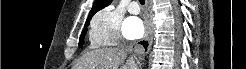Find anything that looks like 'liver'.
Segmentation results:
<instances>
[{"label": "liver", "instance_id": "1", "mask_svg": "<svg viewBox=\"0 0 246 69\" xmlns=\"http://www.w3.org/2000/svg\"><path fill=\"white\" fill-rule=\"evenodd\" d=\"M127 51L118 47H106L92 50L84 54L76 69H118L127 58ZM120 69H137L135 61L131 57Z\"/></svg>", "mask_w": 246, "mask_h": 69}]
</instances>
